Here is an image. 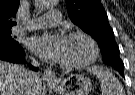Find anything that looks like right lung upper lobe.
Returning a JSON list of instances; mask_svg holds the SVG:
<instances>
[{
  "mask_svg": "<svg viewBox=\"0 0 135 95\" xmlns=\"http://www.w3.org/2000/svg\"><path fill=\"white\" fill-rule=\"evenodd\" d=\"M19 0H0V30L11 29L16 25L12 18L16 17Z\"/></svg>",
  "mask_w": 135,
  "mask_h": 95,
  "instance_id": "cb5924a9",
  "label": "right lung upper lobe"
}]
</instances>
